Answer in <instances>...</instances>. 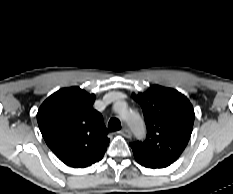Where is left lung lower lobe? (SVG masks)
<instances>
[{"label":"left lung lower lobe","mask_w":233,"mask_h":194,"mask_svg":"<svg viewBox=\"0 0 233 194\" xmlns=\"http://www.w3.org/2000/svg\"><path fill=\"white\" fill-rule=\"evenodd\" d=\"M135 159L137 160L139 164L147 168H164L170 165V163H167V162H158V161L148 160V159L138 157V156H135Z\"/></svg>","instance_id":"1"}]
</instances>
